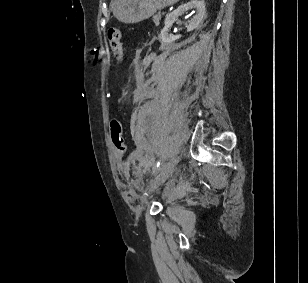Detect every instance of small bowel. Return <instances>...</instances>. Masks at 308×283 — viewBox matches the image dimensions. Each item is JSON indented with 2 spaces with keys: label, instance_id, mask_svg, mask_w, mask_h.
I'll use <instances>...</instances> for the list:
<instances>
[{
  "label": "small bowel",
  "instance_id": "c3829d8e",
  "mask_svg": "<svg viewBox=\"0 0 308 283\" xmlns=\"http://www.w3.org/2000/svg\"><path fill=\"white\" fill-rule=\"evenodd\" d=\"M133 97L135 102H140L144 98V96L139 91H135ZM118 170L125 175L129 174V169L124 162H120L118 164Z\"/></svg>",
  "mask_w": 308,
  "mask_h": 283
}]
</instances>
